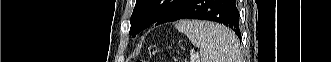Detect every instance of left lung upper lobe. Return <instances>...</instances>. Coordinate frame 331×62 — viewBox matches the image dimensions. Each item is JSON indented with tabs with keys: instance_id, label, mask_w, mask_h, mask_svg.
<instances>
[{
	"instance_id": "1",
	"label": "left lung upper lobe",
	"mask_w": 331,
	"mask_h": 62,
	"mask_svg": "<svg viewBox=\"0 0 331 62\" xmlns=\"http://www.w3.org/2000/svg\"><path fill=\"white\" fill-rule=\"evenodd\" d=\"M184 0H136L131 15L130 34L136 35V28L141 22L151 25L166 23Z\"/></svg>"
}]
</instances>
